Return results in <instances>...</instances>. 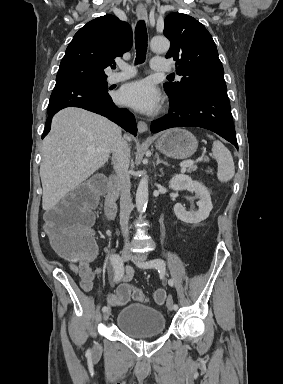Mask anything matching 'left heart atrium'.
I'll list each match as a JSON object with an SVG mask.
<instances>
[{"label": "left heart atrium", "instance_id": "obj_1", "mask_svg": "<svg viewBox=\"0 0 283 384\" xmlns=\"http://www.w3.org/2000/svg\"><path fill=\"white\" fill-rule=\"evenodd\" d=\"M117 101L137 111L150 113L158 107L159 93L150 81L139 80L123 86L117 93Z\"/></svg>", "mask_w": 283, "mask_h": 384}]
</instances>
